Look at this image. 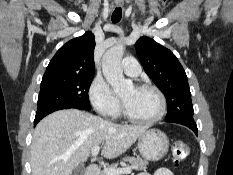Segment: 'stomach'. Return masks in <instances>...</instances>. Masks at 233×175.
<instances>
[{
  "label": "stomach",
  "mask_w": 233,
  "mask_h": 175,
  "mask_svg": "<svg viewBox=\"0 0 233 175\" xmlns=\"http://www.w3.org/2000/svg\"><path fill=\"white\" fill-rule=\"evenodd\" d=\"M138 149L146 160H161L169 149L168 137L159 129H147L138 139Z\"/></svg>",
  "instance_id": "1"
}]
</instances>
